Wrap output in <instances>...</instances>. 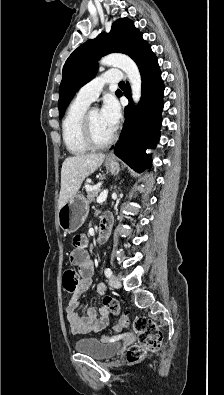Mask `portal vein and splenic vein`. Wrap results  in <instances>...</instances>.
Instances as JSON below:
<instances>
[{
	"label": "portal vein and splenic vein",
	"mask_w": 224,
	"mask_h": 395,
	"mask_svg": "<svg viewBox=\"0 0 224 395\" xmlns=\"http://www.w3.org/2000/svg\"><path fill=\"white\" fill-rule=\"evenodd\" d=\"M107 195H108V191L107 190L102 191L100 196H98L97 199H96L97 203L104 202L106 200V198H107Z\"/></svg>",
	"instance_id": "portal-vein-and-splenic-vein-1"
}]
</instances>
